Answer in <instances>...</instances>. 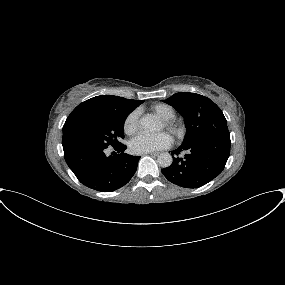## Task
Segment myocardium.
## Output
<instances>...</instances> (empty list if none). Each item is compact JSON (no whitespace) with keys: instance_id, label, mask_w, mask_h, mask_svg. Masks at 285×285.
Here are the masks:
<instances>
[{"instance_id":"f54148a6","label":"myocardium","mask_w":285,"mask_h":285,"mask_svg":"<svg viewBox=\"0 0 285 285\" xmlns=\"http://www.w3.org/2000/svg\"><path fill=\"white\" fill-rule=\"evenodd\" d=\"M162 125L163 128L176 139L183 138L185 134L184 126L176 119H164L162 120Z\"/></svg>"}]
</instances>
